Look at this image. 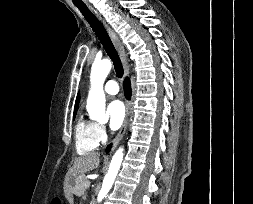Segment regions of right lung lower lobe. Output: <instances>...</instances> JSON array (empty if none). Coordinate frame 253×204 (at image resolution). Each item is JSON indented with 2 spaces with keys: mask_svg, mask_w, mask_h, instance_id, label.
<instances>
[{
  "mask_svg": "<svg viewBox=\"0 0 253 204\" xmlns=\"http://www.w3.org/2000/svg\"><path fill=\"white\" fill-rule=\"evenodd\" d=\"M124 90H125V96H126V98L130 99V96H131V87H130V81L128 79H126L124 81ZM110 148H111V145H109L107 147V152H109Z\"/></svg>",
  "mask_w": 253,
  "mask_h": 204,
  "instance_id": "1",
  "label": "right lung lower lobe"
}]
</instances>
